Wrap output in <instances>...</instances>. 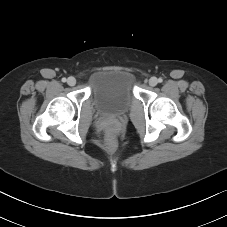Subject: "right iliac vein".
Segmentation results:
<instances>
[{"label": "right iliac vein", "mask_w": 227, "mask_h": 227, "mask_svg": "<svg viewBox=\"0 0 227 227\" xmlns=\"http://www.w3.org/2000/svg\"><path fill=\"white\" fill-rule=\"evenodd\" d=\"M67 84H68L69 86H74V85L76 84V79H75L74 77H69V78L67 79Z\"/></svg>", "instance_id": "right-iliac-vein-1"}]
</instances>
